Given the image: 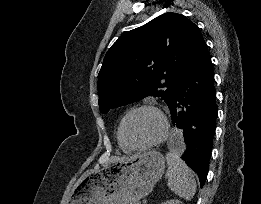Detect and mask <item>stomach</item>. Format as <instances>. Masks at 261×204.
<instances>
[{"mask_svg":"<svg viewBox=\"0 0 261 204\" xmlns=\"http://www.w3.org/2000/svg\"><path fill=\"white\" fill-rule=\"evenodd\" d=\"M165 170V159L147 151L86 173L75 185L69 204H138Z\"/></svg>","mask_w":261,"mask_h":204,"instance_id":"obj_1","label":"stomach"}]
</instances>
